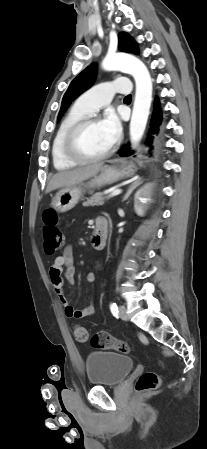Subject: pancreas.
Here are the masks:
<instances>
[{
    "mask_svg": "<svg viewBox=\"0 0 207 449\" xmlns=\"http://www.w3.org/2000/svg\"><path fill=\"white\" fill-rule=\"evenodd\" d=\"M104 204V197L102 193H96L94 194L92 197H90L89 199H87V201H85L83 203V206H99V205H103Z\"/></svg>",
    "mask_w": 207,
    "mask_h": 449,
    "instance_id": "obj_1",
    "label": "pancreas"
}]
</instances>
